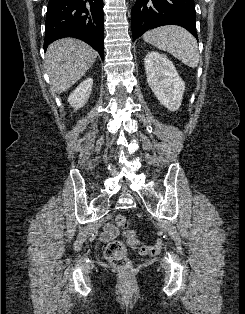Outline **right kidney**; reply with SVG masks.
<instances>
[{
  "label": "right kidney",
  "mask_w": 245,
  "mask_h": 314,
  "mask_svg": "<svg viewBox=\"0 0 245 314\" xmlns=\"http://www.w3.org/2000/svg\"><path fill=\"white\" fill-rule=\"evenodd\" d=\"M93 79L87 78L79 84V86L69 95L68 102L75 109L83 107L92 91Z\"/></svg>",
  "instance_id": "ca27d5eb"
}]
</instances>
